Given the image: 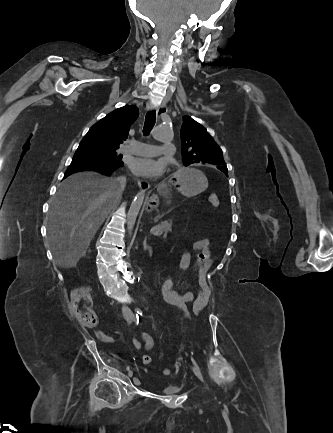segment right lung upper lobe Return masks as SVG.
I'll return each instance as SVG.
<instances>
[{"mask_svg": "<svg viewBox=\"0 0 333 433\" xmlns=\"http://www.w3.org/2000/svg\"><path fill=\"white\" fill-rule=\"evenodd\" d=\"M137 117L136 106L118 108L94 124L82 141L100 148L118 149L123 140H126L130 126Z\"/></svg>", "mask_w": 333, "mask_h": 433, "instance_id": "right-lung-upper-lobe-1", "label": "right lung upper lobe"}]
</instances>
